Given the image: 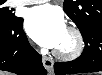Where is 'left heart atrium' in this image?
Wrapping results in <instances>:
<instances>
[{
    "label": "left heart atrium",
    "instance_id": "obj_1",
    "mask_svg": "<svg viewBox=\"0 0 102 75\" xmlns=\"http://www.w3.org/2000/svg\"><path fill=\"white\" fill-rule=\"evenodd\" d=\"M25 28L29 36L45 48H57L67 31L62 15L50 5L32 8Z\"/></svg>",
    "mask_w": 102,
    "mask_h": 75
}]
</instances>
